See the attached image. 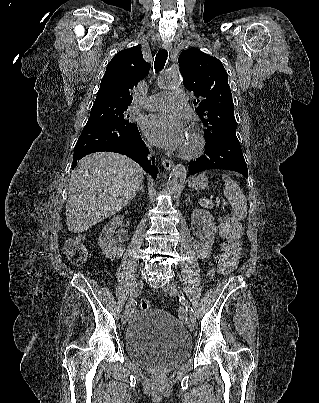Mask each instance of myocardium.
Returning a JSON list of instances; mask_svg holds the SVG:
<instances>
[{
  "instance_id": "1",
  "label": "myocardium",
  "mask_w": 319,
  "mask_h": 403,
  "mask_svg": "<svg viewBox=\"0 0 319 403\" xmlns=\"http://www.w3.org/2000/svg\"><path fill=\"white\" fill-rule=\"evenodd\" d=\"M189 136L191 138V145L189 148L182 149L180 156L185 159H194L201 155L205 147V139L202 133L195 127H191L189 130Z\"/></svg>"
}]
</instances>
